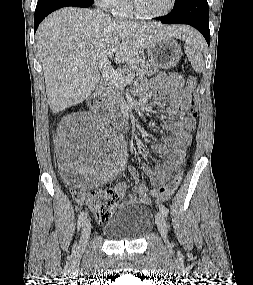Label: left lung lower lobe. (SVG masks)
Instances as JSON below:
<instances>
[{
    "label": "left lung lower lobe",
    "mask_w": 253,
    "mask_h": 285,
    "mask_svg": "<svg viewBox=\"0 0 253 285\" xmlns=\"http://www.w3.org/2000/svg\"><path fill=\"white\" fill-rule=\"evenodd\" d=\"M164 24H188L198 29L210 44L209 8L207 0H177L172 13L158 17Z\"/></svg>",
    "instance_id": "0a47b994"
}]
</instances>
